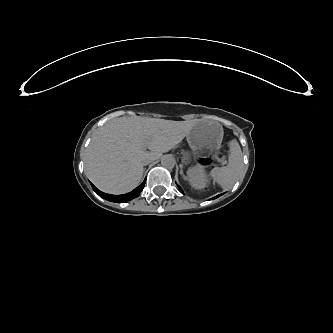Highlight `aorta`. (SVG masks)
Wrapping results in <instances>:
<instances>
[{
  "mask_svg": "<svg viewBox=\"0 0 333 333\" xmlns=\"http://www.w3.org/2000/svg\"><path fill=\"white\" fill-rule=\"evenodd\" d=\"M175 158L171 154L164 155L161 159V165L167 169H172L175 166Z\"/></svg>",
  "mask_w": 333,
  "mask_h": 333,
  "instance_id": "1",
  "label": "aorta"
}]
</instances>
